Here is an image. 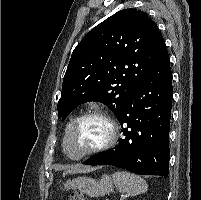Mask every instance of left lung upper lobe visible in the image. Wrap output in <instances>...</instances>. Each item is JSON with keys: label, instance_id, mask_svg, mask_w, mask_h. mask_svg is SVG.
I'll return each instance as SVG.
<instances>
[{"label": "left lung upper lobe", "instance_id": "5c2ea615", "mask_svg": "<svg viewBox=\"0 0 201 200\" xmlns=\"http://www.w3.org/2000/svg\"><path fill=\"white\" fill-rule=\"evenodd\" d=\"M167 52L158 26L143 11H118L74 49L57 109L65 119L78 105L101 102L118 117L125 102Z\"/></svg>", "mask_w": 201, "mask_h": 200}]
</instances>
